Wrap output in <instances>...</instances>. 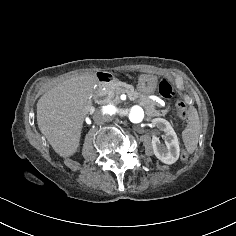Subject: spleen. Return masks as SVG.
<instances>
[{
  "label": "spleen",
  "mask_w": 236,
  "mask_h": 236,
  "mask_svg": "<svg viewBox=\"0 0 236 236\" xmlns=\"http://www.w3.org/2000/svg\"><path fill=\"white\" fill-rule=\"evenodd\" d=\"M199 130L200 123L198 112L193 106H191L189 108L187 127L182 132V139L189 153H193L197 147L199 139Z\"/></svg>",
  "instance_id": "obj_1"
}]
</instances>
